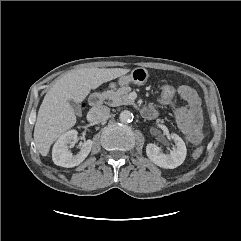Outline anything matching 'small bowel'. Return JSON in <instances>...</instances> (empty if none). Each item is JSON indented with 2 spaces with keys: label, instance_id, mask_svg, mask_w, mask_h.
Returning a JSON list of instances; mask_svg holds the SVG:
<instances>
[{
  "label": "small bowel",
  "instance_id": "c3829d8e",
  "mask_svg": "<svg viewBox=\"0 0 241 241\" xmlns=\"http://www.w3.org/2000/svg\"><path fill=\"white\" fill-rule=\"evenodd\" d=\"M176 93L183 101V105H176L173 99L166 102L160 98V102L174 107L177 124L185 138L190 144L197 145L203 138V113L200 98L188 85L179 86Z\"/></svg>",
  "mask_w": 241,
  "mask_h": 241
}]
</instances>
